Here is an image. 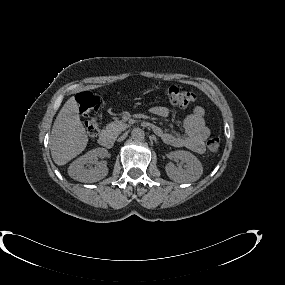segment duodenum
Here are the masks:
<instances>
[{
  "mask_svg": "<svg viewBox=\"0 0 285 285\" xmlns=\"http://www.w3.org/2000/svg\"><path fill=\"white\" fill-rule=\"evenodd\" d=\"M148 126L152 127L149 123H147ZM99 143L101 146L105 148H109L113 145V139L112 135L109 132H102L99 136Z\"/></svg>",
  "mask_w": 285,
  "mask_h": 285,
  "instance_id": "obj_1",
  "label": "duodenum"
}]
</instances>
